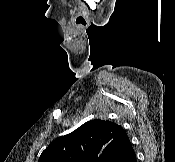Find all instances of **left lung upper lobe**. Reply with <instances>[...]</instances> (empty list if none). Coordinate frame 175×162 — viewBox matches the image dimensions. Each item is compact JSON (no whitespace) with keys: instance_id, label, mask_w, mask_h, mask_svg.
<instances>
[{"instance_id":"obj_1","label":"left lung upper lobe","mask_w":175,"mask_h":162,"mask_svg":"<svg viewBox=\"0 0 175 162\" xmlns=\"http://www.w3.org/2000/svg\"><path fill=\"white\" fill-rule=\"evenodd\" d=\"M127 137L113 122L95 119L52 141L38 162H106Z\"/></svg>"}]
</instances>
